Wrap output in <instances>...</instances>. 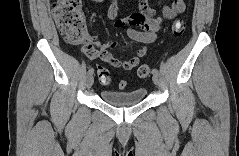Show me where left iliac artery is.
<instances>
[{
  "mask_svg": "<svg viewBox=\"0 0 239 156\" xmlns=\"http://www.w3.org/2000/svg\"><path fill=\"white\" fill-rule=\"evenodd\" d=\"M159 72H158V70L156 69V68H153L152 69V74H158Z\"/></svg>",
  "mask_w": 239,
  "mask_h": 156,
  "instance_id": "obj_1",
  "label": "left iliac artery"
}]
</instances>
